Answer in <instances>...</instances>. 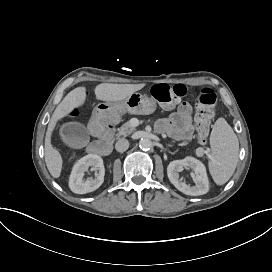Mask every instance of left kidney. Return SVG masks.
<instances>
[{
  "label": "left kidney",
  "instance_id": "left-kidney-1",
  "mask_svg": "<svg viewBox=\"0 0 272 272\" xmlns=\"http://www.w3.org/2000/svg\"><path fill=\"white\" fill-rule=\"evenodd\" d=\"M191 169L196 174L197 184L189 187L185 183L179 181V172L183 169ZM167 175L170 182L182 193L190 196L203 195L208 192L209 183L206 176L204 165L195 158L186 157L171 161L167 167Z\"/></svg>",
  "mask_w": 272,
  "mask_h": 272
}]
</instances>
